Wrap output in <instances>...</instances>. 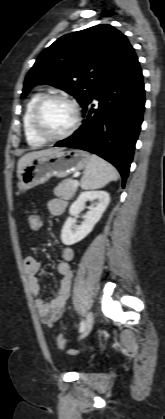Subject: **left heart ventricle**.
Instances as JSON below:
<instances>
[{
  "mask_svg": "<svg viewBox=\"0 0 165 419\" xmlns=\"http://www.w3.org/2000/svg\"><path fill=\"white\" fill-rule=\"evenodd\" d=\"M40 120L45 132L49 135H59L71 126L74 113L67 103L52 100L43 106Z\"/></svg>",
  "mask_w": 165,
  "mask_h": 419,
  "instance_id": "b2bd125f",
  "label": "left heart ventricle"
}]
</instances>
